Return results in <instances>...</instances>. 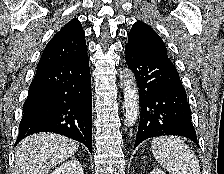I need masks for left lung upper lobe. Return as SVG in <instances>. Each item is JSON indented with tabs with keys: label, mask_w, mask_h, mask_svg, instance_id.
<instances>
[{
	"label": "left lung upper lobe",
	"mask_w": 224,
	"mask_h": 174,
	"mask_svg": "<svg viewBox=\"0 0 224 174\" xmlns=\"http://www.w3.org/2000/svg\"><path fill=\"white\" fill-rule=\"evenodd\" d=\"M125 48L143 53H163L167 55V49L162 39L149 25L141 21H137L132 26Z\"/></svg>",
	"instance_id": "obj_1"
}]
</instances>
